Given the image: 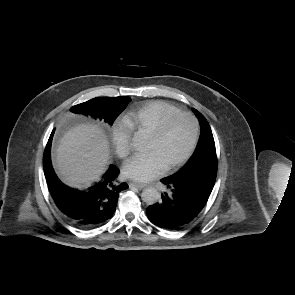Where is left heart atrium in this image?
<instances>
[{"label": "left heart atrium", "instance_id": "obj_1", "mask_svg": "<svg viewBox=\"0 0 295 295\" xmlns=\"http://www.w3.org/2000/svg\"><path fill=\"white\" fill-rule=\"evenodd\" d=\"M164 168L154 152H147L132 157L125 164L124 173L133 180L146 182L162 173Z\"/></svg>", "mask_w": 295, "mask_h": 295}]
</instances>
